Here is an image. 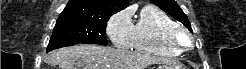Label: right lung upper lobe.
<instances>
[{"label":"right lung upper lobe","instance_id":"obj_1","mask_svg":"<svg viewBox=\"0 0 246 69\" xmlns=\"http://www.w3.org/2000/svg\"><path fill=\"white\" fill-rule=\"evenodd\" d=\"M128 5V0H69L58 20L109 19L113 14L125 9Z\"/></svg>","mask_w":246,"mask_h":69}]
</instances>
